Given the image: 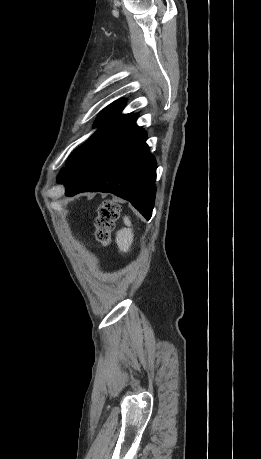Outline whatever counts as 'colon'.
Segmentation results:
<instances>
[{
    "label": "colon",
    "instance_id": "obj_1",
    "mask_svg": "<svg viewBox=\"0 0 261 459\" xmlns=\"http://www.w3.org/2000/svg\"><path fill=\"white\" fill-rule=\"evenodd\" d=\"M120 216V206L115 201L107 199L101 203L95 219L96 239L102 246L110 242L111 233Z\"/></svg>",
    "mask_w": 261,
    "mask_h": 459
}]
</instances>
